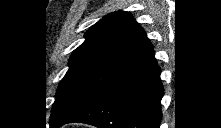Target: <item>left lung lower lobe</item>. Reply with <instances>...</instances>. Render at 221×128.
I'll return each instance as SVG.
<instances>
[{"label": "left lung lower lobe", "instance_id": "obj_1", "mask_svg": "<svg viewBox=\"0 0 221 128\" xmlns=\"http://www.w3.org/2000/svg\"><path fill=\"white\" fill-rule=\"evenodd\" d=\"M162 97L160 70L152 50L99 99L64 124L81 122L98 128H159Z\"/></svg>", "mask_w": 221, "mask_h": 128}]
</instances>
